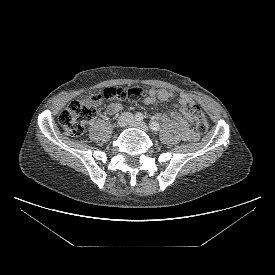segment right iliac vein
<instances>
[{
    "label": "right iliac vein",
    "instance_id": "1",
    "mask_svg": "<svg viewBox=\"0 0 275 275\" xmlns=\"http://www.w3.org/2000/svg\"><path fill=\"white\" fill-rule=\"evenodd\" d=\"M130 122H131L130 116H128V115H123V116H121V117L119 118V120H118V125H119L120 127H124V126H126L128 123H130Z\"/></svg>",
    "mask_w": 275,
    "mask_h": 275
}]
</instances>
